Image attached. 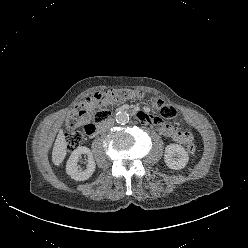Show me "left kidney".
<instances>
[{
    "label": "left kidney",
    "mask_w": 248,
    "mask_h": 248,
    "mask_svg": "<svg viewBox=\"0 0 248 248\" xmlns=\"http://www.w3.org/2000/svg\"><path fill=\"white\" fill-rule=\"evenodd\" d=\"M164 161L170 169L181 170L189 161V156L181 145L169 144L165 148Z\"/></svg>",
    "instance_id": "1"
}]
</instances>
